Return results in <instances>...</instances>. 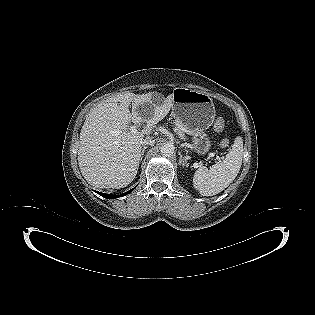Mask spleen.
<instances>
[{
  "label": "spleen",
  "instance_id": "obj_1",
  "mask_svg": "<svg viewBox=\"0 0 315 315\" xmlns=\"http://www.w3.org/2000/svg\"><path fill=\"white\" fill-rule=\"evenodd\" d=\"M243 139L238 136L221 163L210 169L202 166L194 173L193 186L202 196H213L229 186L236 178L242 165Z\"/></svg>",
  "mask_w": 315,
  "mask_h": 315
}]
</instances>
